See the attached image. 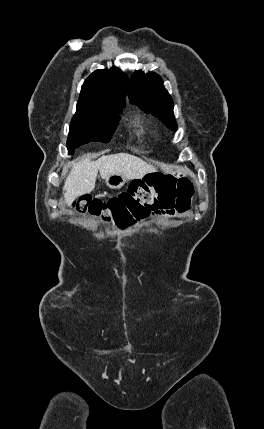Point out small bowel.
<instances>
[{
    "label": "small bowel",
    "instance_id": "1",
    "mask_svg": "<svg viewBox=\"0 0 264 429\" xmlns=\"http://www.w3.org/2000/svg\"><path fill=\"white\" fill-rule=\"evenodd\" d=\"M175 213H179V212H161L159 214L163 216H171V215H174Z\"/></svg>",
    "mask_w": 264,
    "mask_h": 429
}]
</instances>
